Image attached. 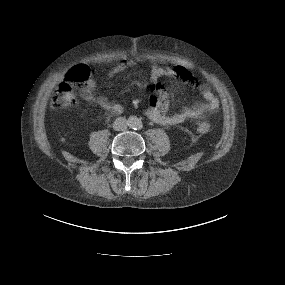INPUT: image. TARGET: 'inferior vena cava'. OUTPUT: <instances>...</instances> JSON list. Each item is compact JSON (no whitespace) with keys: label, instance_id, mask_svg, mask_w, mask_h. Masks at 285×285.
<instances>
[{"label":"inferior vena cava","instance_id":"obj_1","mask_svg":"<svg viewBox=\"0 0 285 285\" xmlns=\"http://www.w3.org/2000/svg\"><path fill=\"white\" fill-rule=\"evenodd\" d=\"M128 127V122L124 117H118L113 123V129L116 131H124Z\"/></svg>","mask_w":285,"mask_h":285}]
</instances>
